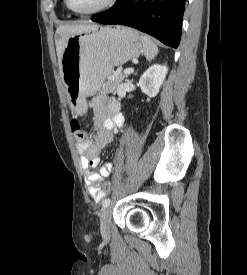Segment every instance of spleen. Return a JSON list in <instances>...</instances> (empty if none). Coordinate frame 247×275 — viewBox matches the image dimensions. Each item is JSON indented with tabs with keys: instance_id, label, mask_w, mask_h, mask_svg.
I'll return each mask as SVG.
<instances>
[{
	"instance_id": "obj_1",
	"label": "spleen",
	"mask_w": 247,
	"mask_h": 275,
	"mask_svg": "<svg viewBox=\"0 0 247 275\" xmlns=\"http://www.w3.org/2000/svg\"><path fill=\"white\" fill-rule=\"evenodd\" d=\"M141 41L147 61H152L159 52L157 45L147 36H142Z\"/></svg>"
}]
</instances>
